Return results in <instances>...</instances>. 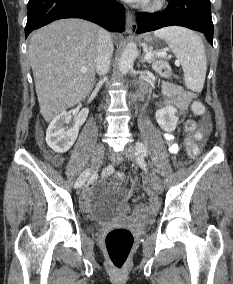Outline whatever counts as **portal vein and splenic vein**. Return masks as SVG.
<instances>
[{
	"instance_id": "portal-vein-and-splenic-vein-1",
	"label": "portal vein and splenic vein",
	"mask_w": 233,
	"mask_h": 284,
	"mask_svg": "<svg viewBox=\"0 0 233 284\" xmlns=\"http://www.w3.org/2000/svg\"><path fill=\"white\" fill-rule=\"evenodd\" d=\"M158 56H161V57H166L167 54L165 52H159L158 53ZM153 57V53L152 52H147L144 56L145 60L146 61H149L151 58ZM176 65L179 64V62H175ZM81 72L85 73L86 72V69H82Z\"/></svg>"
}]
</instances>
